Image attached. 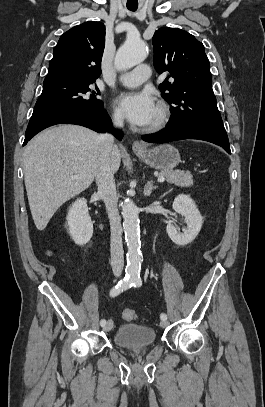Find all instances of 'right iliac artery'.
I'll return each mask as SVG.
<instances>
[{"label":"right iliac artery","mask_w":265,"mask_h":407,"mask_svg":"<svg viewBox=\"0 0 265 407\" xmlns=\"http://www.w3.org/2000/svg\"><path fill=\"white\" fill-rule=\"evenodd\" d=\"M133 286L132 280L129 279L128 277H125L123 280L119 281L118 284L113 287L110 291V296L111 297H116L117 295H119L120 293H122L123 291L131 288ZM106 324V320L102 319L100 321V325L104 326Z\"/></svg>","instance_id":"1"}]
</instances>
